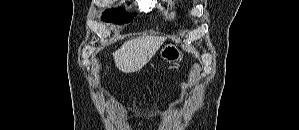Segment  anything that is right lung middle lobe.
Instances as JSON below:
<instances>
[{"instance_id":"right-lung-middle-lobe-1","label":"right lung middle lobe","mask_w":299,"mask_h":130,"mask_svg":"<svg viewBox=\"0 0 299 130\" xmlns=\"http://www.w3.org/2000/svg\"><path fill=\"white\" fill-rule=\"evenodd\" d=\"M120 10L114 9V10H106L104 15L102 16V19L106 22H116V23H125V22H130L132 18H121L120 15Z\"/></svg>"}]
</instances>
